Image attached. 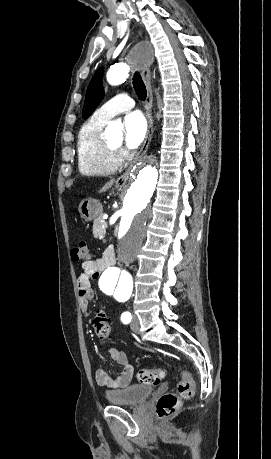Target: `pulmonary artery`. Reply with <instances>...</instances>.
<instances>
[{
	"instance_id": "pulmonary-artery-1",
	"label": "pulmonary artery",
	"mask_w": 271,
	"mask_h": 459,
	"mask_svg": "<svg viewBox=\"0 0 271 459\" xmlns=\"http://www.w3.org/2000/svg\"><path fill=\"white\" fill-rule=\"evenodd\" d=\"M135 104V98H129L128 95H115L114 98L97 109L93 116L99 121L106 122L119 113L131 110Z\"/></svg>"
}]
</instances>
